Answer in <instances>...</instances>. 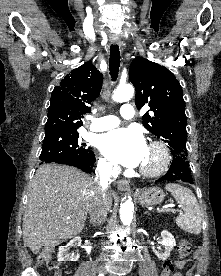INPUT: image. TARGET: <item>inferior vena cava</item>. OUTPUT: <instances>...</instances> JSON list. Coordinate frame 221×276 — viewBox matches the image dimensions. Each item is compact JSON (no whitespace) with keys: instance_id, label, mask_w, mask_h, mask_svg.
I'll return each mask as SVG.
<instances>
[{"instance_id":"obj_1","label":"inferior vena cava","mask_w":221,"mask_h":276,"mask_svg":"<svg viewBox=\"0 0 221 276\" xmlns=\"http://www.w3.org/2000/svg\"><path fill=\"white\" fill-rule=\"evenodd\" d=\"M120 170L117 165L109 163H100L96 169V183L93 199L89 207L90 221L94 224L101 225L106 221L107 211L109 210L106 192L109 182L116 178Z\"/></svg>"}]
</instances>
